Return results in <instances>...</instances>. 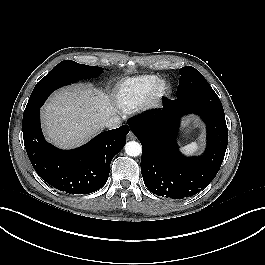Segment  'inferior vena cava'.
Here are the masks:
<instances>
[{"label":"inferior vena cava","instance_id":"inferior-vena-cava-1","mask_svg":"<svg viewBox=\"0 0 265 265\" xmlns=\"http://www.w3.org/2000/svg\"><path fill=\"white\" fill-rule=\"evenodd\" d=\"M121 124V119L119 116H112L110 118H108L105 123L104 126L108 129H116L120 126Z\"/></svg>","mask_w":265,"mask_h":265}]
</instances>
